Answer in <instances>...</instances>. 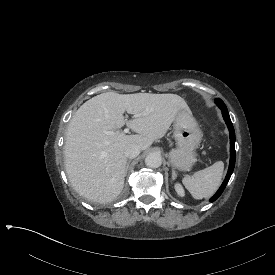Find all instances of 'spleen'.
Segmentation results:
<instances>
[{
  "mask_svg": "<svg viewBox=\"0 0 275 275\" xmlns=\"http://www.w3.org/2000/svg\"><path fill=\"white\" fill-rule=\"evenodd\" d=\"M223 174L224 164L222 161H218L214 165L200 171L195 177H185L183 183L195 199L209 198L221 186Z\"/></svg>",
  "mask_w": 275,
  "mask_h": 275,
  "instance_id": "1",
  "label": "spleen"
}]
</instances>
